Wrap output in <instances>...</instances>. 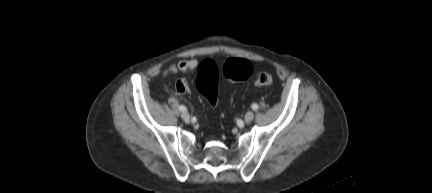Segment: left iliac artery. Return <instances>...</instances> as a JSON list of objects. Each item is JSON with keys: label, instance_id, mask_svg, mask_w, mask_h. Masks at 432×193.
I'll return each instance as SVG.
<instances>
[{"label": "left iliac artery", "instance_id": "left-iliac-artery-1", "mask_svg": "<svg viewBox=\"0 0 432 193\" xmlns=\"http://www.w3.org/2000/svg\"><path fill=\"white\" fill-rule=\"evenodd\" d=\"M252 109L253 110H257L258 109V105L256 103L252 104Z\"/></svg>", "mask_w": 432, "mask_h": 193}]
</instances>
